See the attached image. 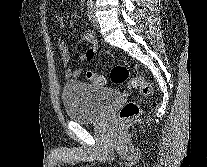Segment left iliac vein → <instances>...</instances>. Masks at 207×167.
Instances as JSON below:
<instances>
[{
    "mask_svg": "<svg viewBox=\"0 0 207 167\" xmlns=\"http://www.w3.org/2000/svg\"><path fill=\"white\" fill-rule=\"evenodd\" d=\"M95 10L93 9V12H94ZM93 25L96 27L97 25H98V23H97V19H96V17H95V15L93 14Z\"/></svg>",
    "mask_w": 207,
    "mask_h": 167,
    "instance_id": "4c4485c4",
    "label": "left iliac vein"
}]
</instances>
